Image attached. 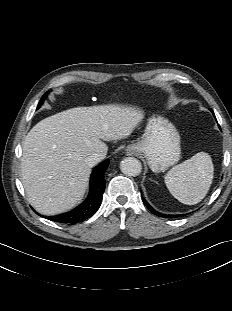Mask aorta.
Listing matches in <instances>:
<instances>
[{
	"label": "aorta",
	"mask_w": 232,
	"mask_h": 311,
	"mask_svg": "<svg viewBox=\"0 0 232 311\" xmlns=\"http://www.w3.org/2000/svg\"><path fill=\"white\" fill-rule=\"evenodd\" d=\"M120 169L126 176H137L141 173V162L134 157H126L120 162Z\"/></svg>",
	"instance_id": "aorta-1"
}]
</instances>
